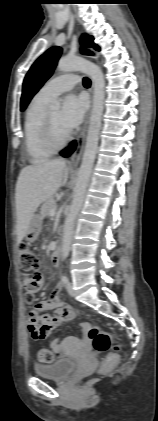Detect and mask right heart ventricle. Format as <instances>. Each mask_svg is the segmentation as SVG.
<instances>
[{"instance_id":"1","label":"right heart ventricle","mask_w":158,"mask_h":421,"mask_svg":"<svg viewBox=\"0 0 158 421\" xmlns=\"http://www.w3.org/2000/svg\"><path fill=\"white\" fill-rule=\"evenodd\" d=\"M50 100L37 94L31 101L25 115L24 139L25 150L31 163L39 164L55 152L43 139V122Z\"/></svg>"}]
</instances>
